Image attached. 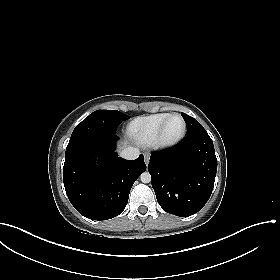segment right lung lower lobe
Segmentation results:
<instances>
[{"mask_svg":"<svg viewBox=\"0 0 280 280\" xmlns=\"http://www.w3.org/2000/svg\"><path fill=\"white\" fill-rule=\"evenodd\" d=\"M115 134L70 139L63 181L74 208L92 220H108L123 212L131 187L146 170L141 154L133 161L118 157Z\"/></svg>","mask_w":280,"mask_h":280,"instance_id":"1","label":"right lung lower lobe"}]
</instances>
